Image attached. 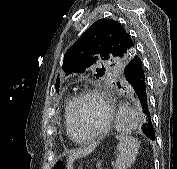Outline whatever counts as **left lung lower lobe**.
I'll list each match as a JSON object with an SVG mask.
<instances>
[{
    "instance_id": "0a47b994",
    "label": "left lung lower lobe",
    "mask_w": 177,
    "mask_h": 169,
    "mask_svg": "<svg viewBox=\"0 0 177 169\" xmlns=\"http://www.w3.org/2000/svg\"><path fill=\"white\" fill-rule=\"evenodd\" d=\"M125 83L136 94L140 108L145 114V122L141 127L142 132L151 140H155V132L151 121L150 108L147 97V84L145 67L141 58L136 55L124 67Z\"/></svg>"
}]
</instances>
